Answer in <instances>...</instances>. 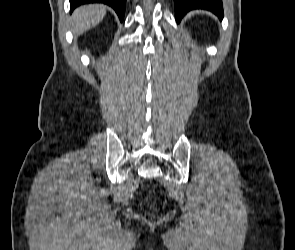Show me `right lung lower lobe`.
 Listing matches in <instances>:
<instances>
[{"label":"right lung lower lobe","mask_w":295,"mask_h":250,"mask_svg":"<svg viewBox=\"0 0 295 250\" xmlns=\"http://www.w3.org/2000/svg\"><path fill=\"white\" fill-rule=\"evenodd\" d=\"M70 11L72 12L76 7L86 3H105L111 6L119 16L120 21L124 18L126 0H69Z\"/></svg>","instance_id":"1"}]
</instances>
